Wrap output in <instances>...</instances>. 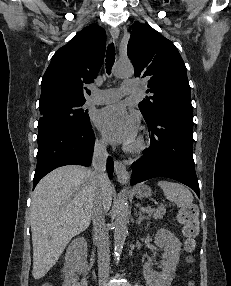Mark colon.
<instances>
[{
  "label": "colon",
  "mask_w": 231,
  "mask_h": 286,
  "mask_svg": "<svg viewBox=\"0 0 231 286\" xmlns=\"http://www.w3.org/2000/svg\"><path fill=\"white\" fill-rule=\"evenodd\" d=\"M178 221L182 225L186 251L191 253L195 247V238L199 233L198 209L194 204L184 206L178 213ZM42 286H52L44 284Z\"/></svg>",
  "instance_id": "obj_1"
}]
</instances>
